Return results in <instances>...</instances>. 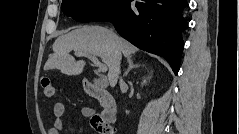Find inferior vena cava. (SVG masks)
Instances as JSON below:
<instances>
[{"label":"inferior vena cava","instance_id":"602c4592","mask_svg":"<svg viewBox=\"0 0 239 134\" xmlns=\"http://www.w3.org/2000/svg\"><path fill=\"white\" fill-rule=\"evenodd\" d=\"M122 55L121 53L118 54V62H117V74L119 76L120 74V61H121Z\"/></svg>","mask_w":239,"mask_h":134}]
</instances>
